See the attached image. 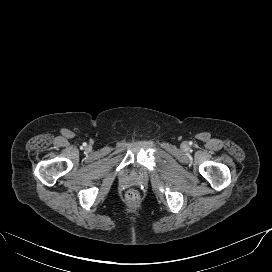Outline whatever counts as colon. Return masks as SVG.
<instances>
[{"instance_id":"1","label":"colon","mask_w":272,"mask_h":272,"mask_svg":"<svg viewBox=\"0 0 272 272\" xmlns=\"http://www.w3.org/2000/svg\"><path fill=\"white\" fill-rule=\"evenodd\" d=\"M127 199L131 202H135L139 199V193L137 190L131 189L127 192Z\"/></svg>"}]
</instances>
